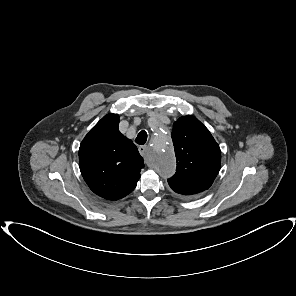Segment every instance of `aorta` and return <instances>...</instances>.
I'll list each match as a JSON object with an SVG mask.
<instances>
[{
  "instance_id": "aorta-1",
  "label": "aorta",
  "mask_w": 296,
  "mask_h": 296,
  "mask_svg": "<svg viewBox=\"0 0 296 296\" xmlns=\"http://www.w3.org/2000/svg\"><path fill=\"white\" fill-rule=\"evenodd\" d=\"M152 160L156 171L163 177H170L175 172V157L169 149V133L162 124L155 127Z\"/></svg>"
}]
</instances>
